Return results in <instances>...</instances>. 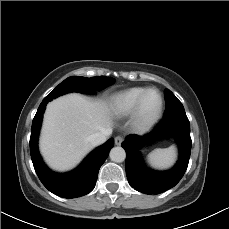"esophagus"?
Returning <instances> with one entry per match:
<instances>
[{
  "instance_id": "obj_1",
  "label": "esophagus",
  "mask_w": 229,
  "mask_h": 229,
  "mask_svg": "<svg viewBox=\"0 0 229 229\" xmlns=\"http://www.w3.org/2000/svg\"><path fill=\"white\" fill-rule=\"evenodd\" d=\"M123 137H121V136H117L116 138H115V144L116 145H121L122 144V142H123Z\"/></svg>"
}]
</instances>
